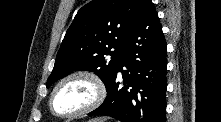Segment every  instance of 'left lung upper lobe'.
Instances as JSON below:
<instances>
[{
    "instance_id": "left-lung-upper-lobe-1",
    "label": "left lung upper lobe",
    "mask_w": 221,
    "mask_h": 122,
    "mask_svg": "<svg viewBox=\"0 0 221 122\" xmlns=\"http://www.w3.org/2000/svg\"><path fill=\"white\" fill-rule=\"evenodd\" d=\"M139 3L140 0H93L83 6L66 32L47 87L73 71L88 70L95 72L107 88Z\"/></svg>"
}]
</instances>
